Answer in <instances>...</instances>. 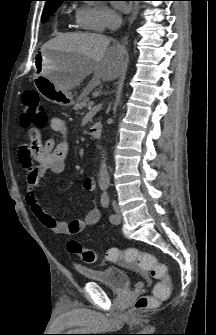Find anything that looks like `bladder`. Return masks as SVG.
<instances>
[{
    "label": "bladder",
    "mask_w": 216,
    "mask_h": 335,
    "mask_svg": "<svg viewBox=\"0 0 216 335\" xmlns=\"http://www.w3.org/2000/svg\"><path fill=\"white\" fill-rule=\"evenodd\" d=\"M76 271L87 280L101 283L114 291L129 290L131 287V274L115 267L100 269L76 268Z\"/></svg>",
    "instance_id": "31cf9c89"
}]
</instances>
